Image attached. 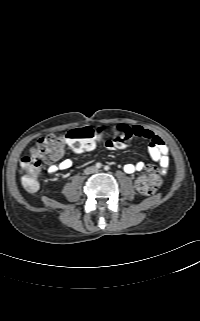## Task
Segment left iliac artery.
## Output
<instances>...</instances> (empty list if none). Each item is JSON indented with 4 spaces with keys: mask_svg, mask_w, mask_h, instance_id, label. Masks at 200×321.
Returning a JSON list of instances; mask_svg holds the SVG:
<instances>
[{
    "mask_svg": "<svg viewBox=\"0 0 200 321\" xmlns=\"http://www.w3.org/2000/svg\"><path fill=\"white\" fill-rule=\"evenodd\" d=\"M104 169H105V170H109L110 167L106 165V166L104 167Z\"/></svg>",
    "mask_w": 200,
    "mask_h": 321,
    "instance_id": "44dca946",
    "label": "left iliac artery"
}]
</instances>
